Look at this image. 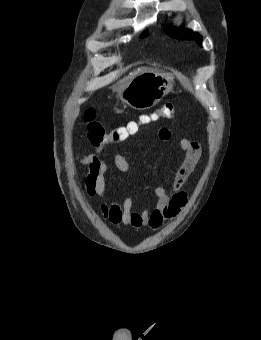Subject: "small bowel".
<instances>
[{"mask_svg": "<svg viewBox=\"0 0 261 340\" xmlns=\"http://www.w3.org/2000/svg\"><path fill=\"white\" fill-rule=\"evenodd\" d=\"M130 126L133 122L129 123ZM171 137L170 130L162 127L158 130V138L168 141ZM111 144L106 141L96 146L94 151L88 155H77V163L88 168L85 177V193L90 199L99 198L100 212L105 219L116 226H124L136 230L148 227L156 229L165 220L174 218L188 201L187 193L182 190L189 177L195 170L201 158V146L199 143L189 139H181L180 148L184 151V158L178 166L169 188L157 186L154 194L157 198L153 210L135 211L132 200L126 197L123 201L106 203L103 201L106 192L105 175L108 170V163L100 158L102 151ZM116 168L126 174H130V167L125 156L117 154L114 157Z\"/></svg>", "mask_w": 261, "mask_h": 340, "instance_id": "obj_1", "label": "small bowel"}]
</instances>
